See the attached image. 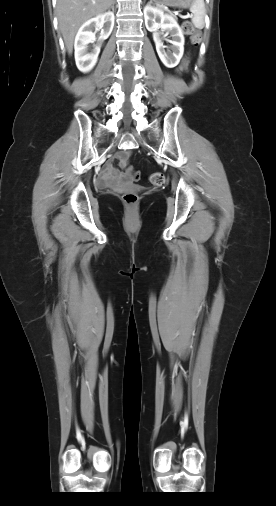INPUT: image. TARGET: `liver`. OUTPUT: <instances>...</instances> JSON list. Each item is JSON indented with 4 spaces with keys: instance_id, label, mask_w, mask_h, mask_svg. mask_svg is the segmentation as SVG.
<instances>
[{
    "instance_id": "obj_1",
    "label": "liver",
    "mask_w": 276,
    "mask_h": 506,
    "mask_svg": "<svg viewBox=\"0 0 276 506\" xmlns=\"http://www.w3.org/2000/svg\"><path fill=\"white\" fill-rule=\"evenodd\" d=\"M114 0H57L59 29L69 54L79 27L90 18L108 10Z\"/></svg>"
}]
</instances>
